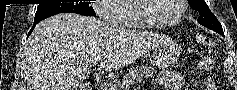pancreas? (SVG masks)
<instances>
[{
    "instance_id": "1",
    "label": "pancreas",
    "mask_w": 237,
    "mask_h": 90,
    "mask_svg": "<svg viewBox=\"0 0 237 90\" xmlns=\"http://www.w3.org/2000/svg\"><path fill=\"white\" fill-rule=\"evenodd\" d=\"M153 74H155V72H153L151 68H149V70H147V68H135V70H130L128 74H125L119 88L123 90L125 86L138 84V82H142L143 78H152Z\"/></svg>"
}]
</instances>
